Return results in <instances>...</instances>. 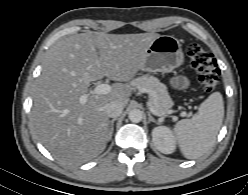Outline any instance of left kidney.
<instances>
[{"label":"left kidney","mask_w":248,"mask_h":195,"mask_svg":"<svg viewBox=\"0 0 248 195\" xmlns=\"http://www.w3.org/2000/svg\"><path fill=\"white\" fill-rule=\"evenodd\" d=\"M152 140L155 147L164 154L175 151V139L170 129L165 126L155 127L152 130Z\"/></svg>","instance_id":"obj_1"}]
</instances>
